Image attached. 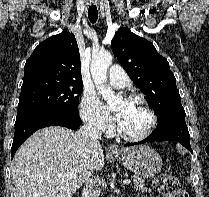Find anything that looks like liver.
I'll return each instance as SVG.
<instances>
[{"instance_id": "6515ba94", "label": "liver", "mask_w": 209, "mask_h": 197, "mask_svg": "<svg viewBox=\"0 0 209 197\" xmlns=\"http://www.w3.org/2000/svg\"><path fill=\"white\" fill-rule=\"evenodd\" d=\"M103 166L99 143L68 128L51 126L38 130L20 146L11 174L18 197H72L89 171ZM70 173L77 178H68Z\"/></svg>"}]
</instances>
